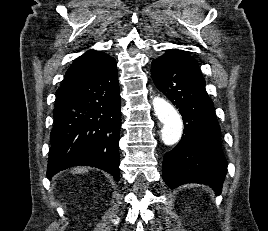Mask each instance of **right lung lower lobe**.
<instances>
[{"instance_id":"obj_1","label":"right lung lower lobe","mask_w":268,"mask_h":231,"mask_svg":"<svg viewBox=\"0 0 268 231\" xmlns=\"http://www.w3.org/2000/svg\"><path fill=\"white\" fill-rule=\"evenodd\" d=\"M121 98L113 58L91 77L74 85L55 104L47 177L76 165L97 167L119 181Z\"/></svg>"}]
</instances>
